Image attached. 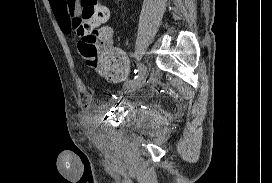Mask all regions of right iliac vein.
<instances>
[{"instance_id": "1", "label": "right iliac vein", "mask_w": 272, "mask_h": 183, "mask_svg": "<svg viewBox=\"0 0 272 183\" xmlns=\"http://www.w3.org/2000/svg\"><path fill=\"white\" fill-rule=\"evenodd\" d=\"M142 70V75L140 78H138L137 81H127L125 82L124 86H123V90L125 91H134L136 90L137 88L141 87L142 84H143V81H144V77H145V74H146V71L144 69H141Z\"/></svg>"}]
</instances>
